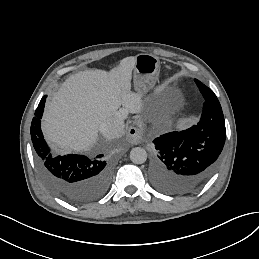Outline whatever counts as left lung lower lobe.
<instances>
[{"instance_id": "obj_1", "label": "left lung lower lobe", "mask_w": 259, "mask_h": 259, "mask_svg": "<svg viewBox=\"0 0 259 259\" xmlns=\"http://www.w3.org/2000/svg\"><path fill=\"white\" fill-rule=\"evenodd\" d=\"M205 99L200 122L154 140L150 168L152 184L169 194H188L202 186L216 171L226 138L219 100L210 88L200 90Z\"/></svg>"}]
</instances>
